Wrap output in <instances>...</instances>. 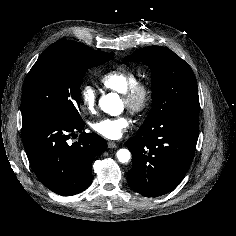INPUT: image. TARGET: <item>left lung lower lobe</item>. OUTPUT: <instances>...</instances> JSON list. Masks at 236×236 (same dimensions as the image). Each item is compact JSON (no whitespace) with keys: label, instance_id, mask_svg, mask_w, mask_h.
I'll return each mask as SVG.
<instances>
[{"label":"left lung lower lobe","instance_id":"0a47b994","mask_svg":"<svg viewBox=\"0 0 236 236\" xmlns=\"http://www.w3.org/2000/svg\"><path fill=\"white\" fill-rule=\"evenodd\" d=\"M199 116L175 114L140 127L125 145L132 153L130 187L146 197L172 191L184 178L195 154Z\"/></svg>","mask_w":236,"mask_h":236}]
</instances>
